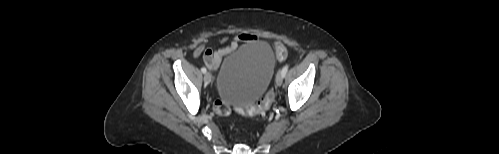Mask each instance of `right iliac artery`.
<instances>
[{
  "label": "right iliac artery",
  "instance_id": "obj_1",
  "mask_svg": "<svg viewBox=\"0 0 499 154\" xmlns=\"http://www.w3.org/2000/svg\"><path fill=\"white\" fill-rule=\"evenodd\" d=\"M201 71H202L203 73H205V72H206V68H205V67H202V68H201Z\"/></svg>",
  "mask_w": 499,
  "mask_h": 154
}]
</instances>
